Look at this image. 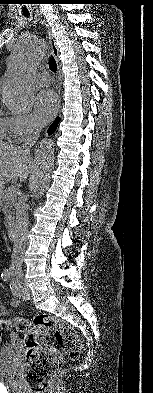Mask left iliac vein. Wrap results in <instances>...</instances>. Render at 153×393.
<instances>
[{
    "label": "left iliac vein",
    "mask_w": 153,
    "mask_h": 393,
    "mask_svg": "<svg viewBox=\"0 0 153 393\" xmlns=\"http://www.w3.org/2000/svg\"><path fill=\"white\" fill-rule=\"evenodd\" d=\"M16 286H17V289L14 288V290H15L14 295H16L18 297H22V298L29 296V290H28V287L25 285V283L22 285L16 284Z\"/></svg>",
    "instance_id": "4c4485c4"
}]
</instances>
